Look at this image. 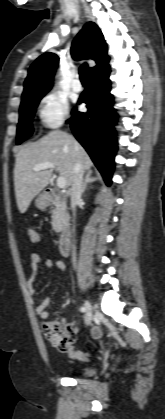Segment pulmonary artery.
Listing matches in <instances>:
<instances>
[{
	"label": "pulmonary artery",
	"instance_id": "e3ab8cb5",
	"mask_svg": "<svg viewBox=\"0 0 165 419\" xmlns=\"http://www.w3.org/2000/svg\"><path fill=\"white\" fill-rule=\"evenodd\" d=\"M72 89L74 91H76V92H79L82 89V85H81V82L79 80V76L78 75H76L75 80L72 83Z\"/></svg>",
	"mask_w": 165,
	"mask_h": 419
}]
</instances>
